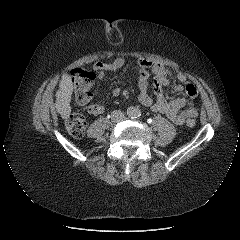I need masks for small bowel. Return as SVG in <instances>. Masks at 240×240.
Instances as JSON below:
<instances>
[{"label":"small bowel","instance_id":"1","mask_svg":"<svg viewBox=\"0 0 240 240\" xmlns=\"http://www.w3.org/2000/svg\"><path fill=\"white\" fill-rule=\"evenodd\" d=\"M124 65L123 58H116L107 63H97L94 69L98 73V78H102L106 71H117ZM139 95L138 99L141 104L148 107L153 112L165 114L175 124H183L190 117H196L198 110L195 105L197 97L196 87L187 81L184 73L181 71L172 72L160 62L139 59ZM154 74L153 96L148 93V80L150 74ZM175 75L180 84L174 87L176 92L184 91L185 97L168 100L162 90L163 86L170 84V78ZM120 94V89L113 91L114 96ZM105 108L101 102H95L89 106V113L98 116L104 112Z\"/></svg>","mask_w":240,"mask_h":240}]
</instances>
